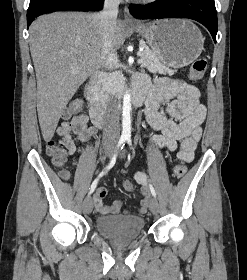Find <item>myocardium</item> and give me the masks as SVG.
Listing matches in <instances>:
<instances>
[{
  "label": "myocardium",
  "mask_w": 247,
  "mask_h": 280,
  "mask_svg": "<svg viewBox=\"0 0 247 280\" xmlns=\"http://www.w3.org/2000/svg\"><path fill=\"white\" fill-rule=\"evenodd\" d=\"M142 1H154V0H142Z\"/></svg>",
  "instance_id": "f54148a6"
}]
</instances>
